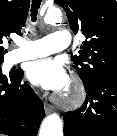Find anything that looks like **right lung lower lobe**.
Returning a JSON list of instances; mask_svg holds the SVG:
<instances>
[{
	"instance_id": "98d812e1",
	"label": "right lung lower lobe",
	"mask_w": 117,
	"mask_h": 136,
	"mask_svg": "<svg viewBox=\"0 0 117 136\" xmlns=\"http://www.w3.org/2000/svg\"><path fill=\"white\" fill-rule=\"evenodd\" d=\"M23 71L0 76V134L36 136L45 116L41 99L28 84H20Z\"/></svg>"
}]
</instances>
